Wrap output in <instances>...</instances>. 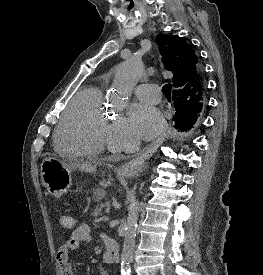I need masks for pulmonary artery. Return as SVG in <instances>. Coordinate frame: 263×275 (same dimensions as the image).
I'll list each match as a JSON object with an SVG mask.
<instances>
[{
  "instance_id": "pulmonary-artery-1",
  "label": "pulmonary artery",
  "mask_w": 263,
  "mask_h": 275,
  "mask_svg": "<svg viewBox=\"0 0 263 275\" xmlns=\"http://www.w3.org/2000/svg\"><path fill=\"white\" fill-rule=\"evenodd\" d=\"M134 94L148 103L156 104L160 101L159 87L156 84H140L134 88Z\"/></svg>"
}]
</instances>
